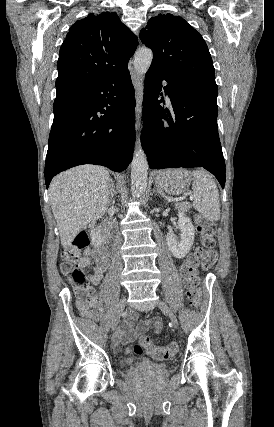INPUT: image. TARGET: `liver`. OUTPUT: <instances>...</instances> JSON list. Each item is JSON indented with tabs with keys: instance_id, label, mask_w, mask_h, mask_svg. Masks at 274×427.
<instances>
[{
	"instance_id": "1",
	"label": "liver",
	"mask_w": 274,
	"mask_h": 427,
	"mask_svg": "<svg viewBox=\"0 0 274 427\" xmlns=\"http://www.w3.org/2000/svg\"><path fill=\"white\" fill-rule=\"evenodd\" d=\"M112 180L102 166H77L53 178L48 194L63 247L72 245L90 219H99L109 204Z\"/></svg>"
}]
</instances>
